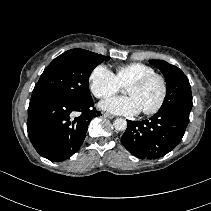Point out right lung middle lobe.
I'll use <instances>...</instances> for the list:
<instances>
[{"label": "right lung middle lobe", "mask_w": 211, "mask_h": 211, "mask_svg": "<svg viewBox=\"0 0 211 211\" xmlns=\"http://www.w3.org/2000/svg\"><path fill=\"white\" fill-rule=\"evenodd\" d=\"M109 58L84 49L66 51L45 68L32 97H58L76 103L91 101L89 76L98 64Z\"/></svg>", "instance_id": "obj_1"}]
</instances>
